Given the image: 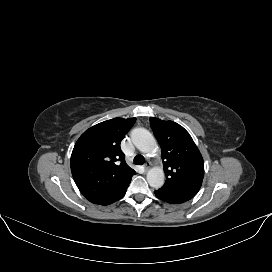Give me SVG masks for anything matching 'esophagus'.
<instances>
[{
    "label": "esophagus",
    "instance_id": "esophagus-1",
    "mask_svg": "<svg viewBox=\"0 0 272 272\" xmlns=\"http://www.w3.org/2000/svg\"><path fill=\"white\" fill-rule=\"evenodd\" d=\"M150 167H151V163L150 162H147L145 165H144V170L145 171H148L149 169H150Z\"/></svg>",
    "mask_w": 272,
    "mask_h": 272
}]
</instances>
